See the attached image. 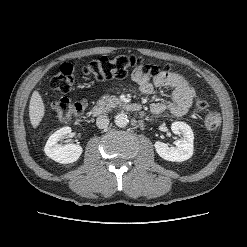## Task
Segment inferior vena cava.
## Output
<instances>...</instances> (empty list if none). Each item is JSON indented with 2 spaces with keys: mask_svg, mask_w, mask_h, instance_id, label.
I'll list each match as a JSON object with an SVG mask.
<instances>
[{
  "mask_svg": "<svg viewBox=\"0 0 247 247\" xmlns=\"http://www.w3.org/2000/svg\"><path fill=\"white\" fill-rule=\"evenodd\" d=\"M96 125L100 129H104L109 125V118L106 115H100L96 119Z\"/></svg>",
  "mask_w": 247,
  "mask_h": 247,
  "instance_id": "602c4592",
  "label": "inferior vena cava"
}]
</instances>
